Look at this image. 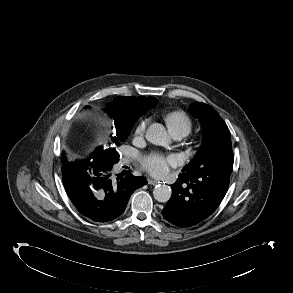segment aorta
Masks as SVG:
<instances>
[{"label":"aorta","instance_id":"aorta-1","mask_svg":"<svg viewBox=\"0 0 293 293\" xmlns=\"http://www.w3.org/2000/svg\"><path fill=\"white\" fill-rule=\"evenodd\" d=\"M146 139L159 146H167L170 143V138L165 127L160 123L151 124L146 131ZM154 198L158 202H167L171 197V189L167 185H157L153 190Z\"/></svg>","mask_w":293,"mask_h":293}]
</instances>
